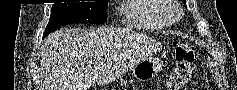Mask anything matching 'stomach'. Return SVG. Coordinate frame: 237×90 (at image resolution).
I'll return each mask as SVG.
<instances>
[{
	"mask_svg": "<svg viewBox=\"0 0 237 90\" xmlns=\"http://www.w3.org/2000/svg\"><path fill=\"white\" fill-rule=\"evenodd\" d=\"M163 63L160 60L149 59L140 62L132 69V75L138 81H148L154 78L162 70Z\"/></svg>",
	"mask_w": 237,
	"mask_h": 90,
	"instance_id": "1",
	"label": "stomach"
}]
</instances>
